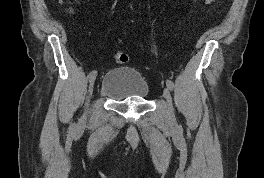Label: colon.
Wrapping results in <instances>:
<instances>
[{
  "label": "colon",
  "mask_w": 264,
  "mask_h": 178,
  "mask_svg": "<svg viewBox=\"0 0 264 178\" xmlns=\"http://www.w3.org/2000/svg\"><path fill=\"white\" fill-rule=\"evenodd\" d=\"M114 60L116 63H120V64H123V63H126L128 62L129 60V56L127 53H124V52H118L114 55Z\"/></svg>",
  "instance_id": "colon-1"
}]
</instances>
